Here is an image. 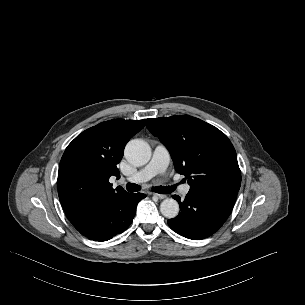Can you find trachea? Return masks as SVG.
I'll return each instance as SVG.
<instances>
[{
  "mask_svg": "<svg viewBox=\"0 0 305 305\" xmlns=\"http://www.w3.org/2000/svg\"><path fill=\"white\" fill-rule=\"evenodd\" d=\"M126 189L128 192H137L141 190V187L134 183H127ZM175 190V186H157L153 188L154 192L160 194H169Z\"/></svg>",
  "mask_w": 305,
  "mask_h": 305,
  "instance_id": "obj_1",
  "label": "trachea"
}]
</instances>
